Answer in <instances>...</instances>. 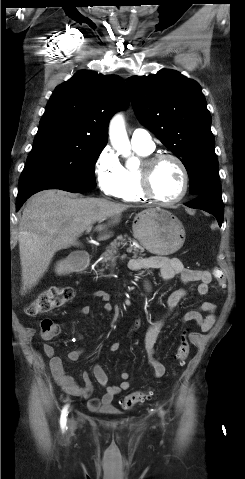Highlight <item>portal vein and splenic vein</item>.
Listing matches in <instances>:
<instances>
[{
	"mask_svg": "<svg viewBox=\"0 0 245 479\" xmlns=\"http://www.w3.org/2000/svg\"><path fill=\"white\" fill-rule=\"evenodd\" d=\"M91 231V228L87 229V232H90Z\"/></svg>",
	"mask_w": 245,
	"mask_h": 479,
	"instance_id": "18ae733b",
	"label": "portal vein and splenic vein"
}]
</instances>
